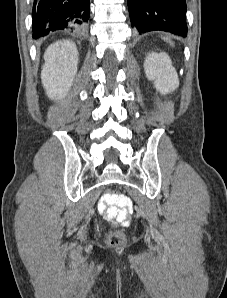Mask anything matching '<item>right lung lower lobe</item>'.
<instances>
[{
	"label": "right lung lower lobe",
	"mask_w": 227,
	"mask_h": 298,
	"mask_svg": "<svg viewBox=\"0 0 227 298\" xmlns=\"http://www.w3.org/2000/svg\"><path fill=\"white\" fill-rule=\"evenodd\" d=\"M33 38L50 31L78 30L89 19V0H34Z\"/></svg>",
	"instance_id": "right-lung-lower-lobe-1"
}]
</instances>
